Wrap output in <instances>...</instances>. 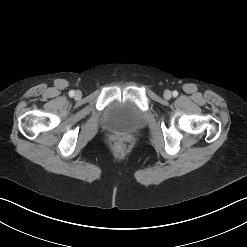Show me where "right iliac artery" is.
I'll return each instance as SVG.
<instances>
[{"label":"right iliac artery","instance_id":"1","mask_svg":"<svg viewBox=\"0 0 247 247\" xmlns=\"http://www.w3.org/2000/svg\"><path fill=\"white\" fill-rule=\"evenodd\" d=\"M74 94H75V92H74L73 90H71V91L69 92V96H70V97H73Z\"/></svg>","mask_w":247,"mask_h":247}]
</instances>
